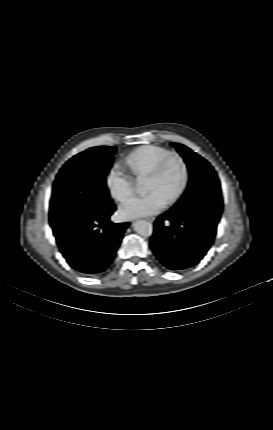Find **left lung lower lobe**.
<instances>
[{
	"label": "left lung lower lobe",
	"instance_id": "0a47b994",
	"mask_svg": "<svg viewBox=\"0 0 273 430\" xmlns=\"http://www.w3.org/2000/svg\"><path fill=\"white\" fill-rule=\"evenodd\" d=\"M222 197L201 192L156 219L150 246L170 270L196 265L211 247L222 212Z\"/></svg>",
	"mask_w": 273,
	"mask_h": 430
}]
</instances>
